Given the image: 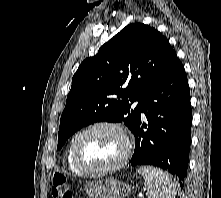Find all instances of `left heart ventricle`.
<instances>
[{
	"mask_svg": "<svg viewBox=\"0 0 221 198\" xmlns=\"http://www.w3.org/2000/svg\"><path fill=\"white\" fill-rule=\"evenodd\" d=\"M124 151V141L118 132L99 128L85 134L78 145L83 164L92 168H103L114 164Z\"/></svg>",
	"mask_w": 221,
	"mask_h": 198,
	"instance_id": "1",
	"label": "left heart ventricle"
}]
</instances>
